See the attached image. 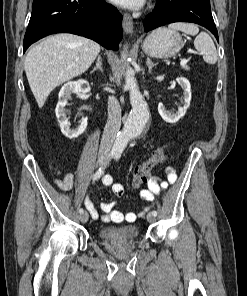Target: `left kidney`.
Returning a JSON list of instances; mask_svg holds the SVG:
<instances>
[{
  "instance_id": "1",
  "label": "left kidney",
  "mask_w": 247,
  "mask_h": 296,
  "mask_svg": "<svg viewBox=\"0 0 247 296\" xmlns=\"http://www.w3.org/2000/svg\"><path fill=\"white\" fill-rule=\"evenodd\" d=\"M178 84L182 87L183 89V103L182 106L178 108V111L175 113H170L165 109V106L162 103H159L158 105V112L162 119L168 123H176L180 118H182L188 107L190 106V101H191V86L190 83L187 79L180 77L177 78Z\"/></svg>"
}]
</instances>
